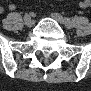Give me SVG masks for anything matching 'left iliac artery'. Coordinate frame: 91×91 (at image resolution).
<instances>
[{"mask_svg":"<svg viewBox=\"0 0 91 91\" xmlns=\"http://www.w3.org/2000/svg\"><path fill=\"white\" fill-rule=\"evenodd\" d=\"M65 20H66L67 25H70L71 24L70 18H65Z\"/></svg>","mask_w":91,"mask_h":91,"instance_id":"obj_1","label":"left iliac artery"}]
</instances>
